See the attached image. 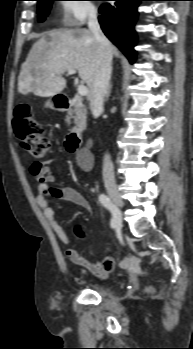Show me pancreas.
<instances>
[{
    "label": "pancreas",
    "instance_id": "cf45deb5",
    "mask_svg": "<svg viewBox=\"0 0 193 349\" xmlns=\"http://www.w3.org/2000/svg\"><path fill=\"white\" fill-rule=\"evenodd\" d=\"M73 107H74V112L76 114V118L74 122L77 125V127H75L74 129L78 128L80 130H83L86 128L87 111L81 97L76 96L74 98Z\"/></svg>",
    "mask_w": 193,
    "mask_h": 349
}]
</instances>
